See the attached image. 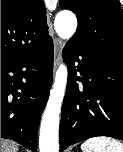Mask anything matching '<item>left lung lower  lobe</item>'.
Returning a JSON list of instances; mask_svg holds the SVG:
<instances>
[{"mask_svg": "<svg viewBox=\"0 0 123 152\" xmlns=\"http://www.w3.org/2000/svg\"><path fill=\"white\" fill-rule=\"evenodd\" d=\"M69 68L59 127L60 152L91 137L123 140V62L69 41L63 50ZM76 81H81L79 89Z\"/></svg>", "mask_w": 123, "mask_h": 152, "instance_id": "0a47b994", "label": "left lung lower lobe"}]
</instances>
